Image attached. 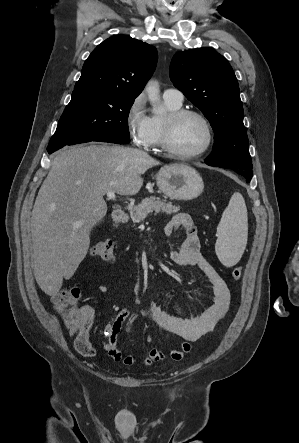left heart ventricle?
Returning <instances> with one entry per match:
<instances>
[{
	"label": "left heart ventricle",
	"mask_w": 299,
	"mask_h": 443,
	"mask_svg": "<svg viewBox=\"0 0 299 443\" xmlns=\"http://www.w3.org/2000/svg\"><path fill=\"white\" fill-rule=\"evenodd\" d=\"M207 139L203 122L195 116L182 118L175 125L172 136V147L182 153H193L200 150Z\"/></svg>",
	"instance_id": "left-heart-ventricle-1"
}]
</instances>
